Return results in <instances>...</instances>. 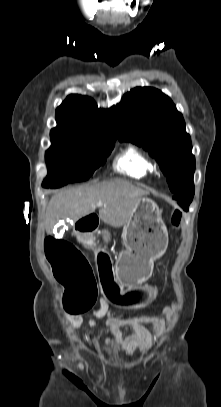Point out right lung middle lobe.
<instances>
[{"label":"right lung middle lobe","instance_id":"dd1d6c3e","mask_svg":"<svg viewBox=\"0 0 221 407\" xmlns=\"http://www.w3.org/2000/svg\"><path fill=\"white\" fill-rule=\"evenodd\" d=\"M51 143L45 155L48 174L42 186L46 188L88 180L105 163L114 148V142L91 143L51 138Z\"/></svg>","mask_w":221,"mask_h":407}]
</instances>
